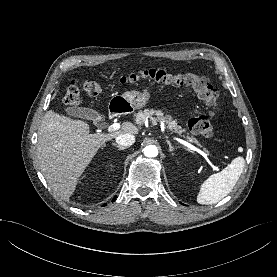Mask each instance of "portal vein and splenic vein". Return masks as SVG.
I'll use <instances>...</instances> for the list:
<instances>
[{
  "label": "portal vein and splenic vein",
  "mask_w": 277,
  "mask_h": 277,
  "mask_svg": "<svg viewBox=\"0 0 277 277\" xmlns=\"http://www.w3.org/2000/svg\"><path fill=\"white\" fill-rule=\"evenodd\" d=\"M120 124L119 123H114V124H112V125H110L109 127H108V132H113V131H116V130H119L120 129ZM175 140H177L179 143H181V144H183V145H185V146H187L188 148H190V149H192V150H194V151H196V152H198V153H200L205 159H207V158H215L213 155H211L210 153H209V151H201V150H199L198 148H196L194 145H192V144H190V143H188L187 141H185V140H183V139H180V138H175ZM216 170H218V168L216 169Z\"/></svg>",
  "instance_id": "obj_1"
}]
</instances>
